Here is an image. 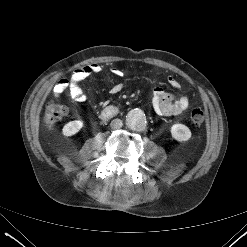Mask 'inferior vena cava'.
Wrapping results in <instances>:
<instances>
[{
  "label": "inferior vena cava",
  "instance_id": "obj_1",
  "mask_svg": "<svg viewBox=\"0 0 247 247\" xmlns=\"http://www.w3.org/2000/svg\"><path fill=\"white\" fill-rule=\"evenodd\" d=\"M122 125H123L122 120H120V119H118V118L113 119V120L111 121V123H110V126H111L112 129H119V128L122 127Z\"/></svg>",
  "mask_w": 247,
  "mask_h": 247
}]
</instances>
